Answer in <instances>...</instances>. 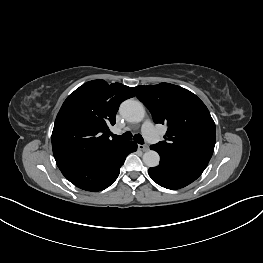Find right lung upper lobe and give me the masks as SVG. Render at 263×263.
<instances>
[{
  "mask_svg": "<svg viewBox=\"0 0 263 263\" xmlns=\"http://www.w3.org/2000/svg\"><path fill=\"white\" fill-rule=\"evenodd\" d=\"M120 83L89 81L64 101L52 132V149L59 169L87 163L125 141L109 139L119 105L133 97Z\"/></svg>",
  "mask_w": 263,
  "mask_h": 263,
  "instance_id": "right-lung-upper-lobe-1",
  "label": "right lung upper lobe"
}]
</instances>
